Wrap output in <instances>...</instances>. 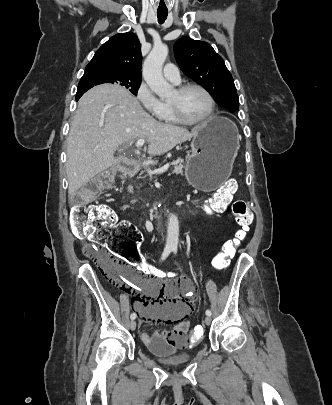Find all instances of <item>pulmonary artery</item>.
<instances>
[{"instance_id":"1","label":"pulmonary artery","mask_w":332,"mask_h":405,"mask_svg":"<svg viewBox=\"0 0 332 405\" xmlns=\"http://www.w3.org/2000/svg\"><path fill=\"white\" fill-rule=\"evenodd\" d=\"M163 74L165 76L166 79H168L169 81L173 82V83H179L180 82V73L178 68L172 64V63H168L164 66L163 69Z\"/></svg>"}]
</instances>
